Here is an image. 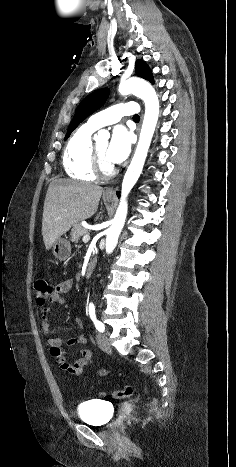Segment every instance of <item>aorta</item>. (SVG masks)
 Returning <instances> with one entry per match:
<instances>
[{
  "mask_svg": "<svg viewBox=\"0 0 236 467\" xmlns=\"http://www.w3.org/2000/svg\"><path fill=\"white\" fill-rule=\"evenodd\" d=\"M118 91L121 95L134 94L141 98L145 103V114L134 156L123 178L120 203L112 225L107 230L106 253L108 254L113 252L118 243L127 217V196L142 172L159 117L158 96L149 82L140 78H130L120 82Z\"/></svg>",
  "mask_w": 236,
  "mask_h": 467,
  "instance_id": "obj_1",
  "label": "aorta"
}]
</instances>
